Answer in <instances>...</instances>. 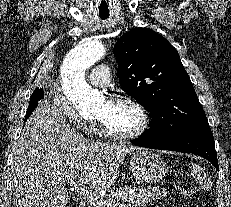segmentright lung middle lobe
<instances>
[{"mask_svg": "<svg viewBox=\"0 0 231 207\" xmlns=\"http://www.w3.org/2000/svg\"><path fill=\"white\" fill-rule=\"evenodd\" d=\"M39 96H43V91L41 89H36L31 95V97H33L32 100L36 99Z\"/></svg>", "mask_w": 231, "mask_h": 207, "instance_id": "obj_1", "label": "right lung middle lobe"}]
</instances>
